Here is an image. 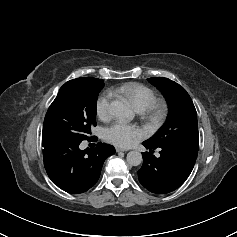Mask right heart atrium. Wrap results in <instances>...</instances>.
<instances>
[{
	"mask_svg": "<svg viewBox=\"0 0 237 237\" xmlns=\"http://www.w3.org/2000/svg\"><path fill=\"white\" fill-rule=\"evenodd\" d=\"M112 96L110 91L104 92L99 96L96 102V113L99 118L107 119L110 116Z\"/></svg>",
	"mask_w": 237,
	"mask_h": 237,
	"instance_id": "obj_1",
	"label": "right heart atrium"
}]
</instances>
